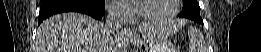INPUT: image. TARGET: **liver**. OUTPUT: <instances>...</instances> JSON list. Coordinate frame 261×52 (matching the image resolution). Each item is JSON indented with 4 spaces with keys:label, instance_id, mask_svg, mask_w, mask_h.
<instances>
[{
    "label": "liver",
    "instance_id": "1",
    "mask_svg": "<svg viewBox=\"0 0 261 52\" xmlns=\"http://www.w3.org/2000/svg\"><path fill=\"white\" fill-rule=\"evenodd\" d=\"M153 26L140 29L146 32ZM170 33L171 28L154 29ZM34 52H123L124 44L107 36L104 23L80 13H63L46 19L38 28Z\"/></svg>",
    "mask_w": 261,
    "mask_h": 52
}]
</instances>
